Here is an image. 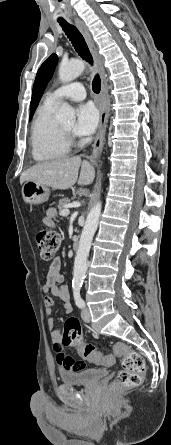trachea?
I'll return each mask as SVG.
<instances>
[{"mask_svg":"<svg viewBox=\"0 0 171 445\" xmlns=\"http://www.w3.org/2000/svg\"><path fill=\"white\" fill-rule=\"evenodd\" d=\"M59 24L61 25L63 31L70 39L74 49L78 53V55L91 65L93 64V59L88 49V46L85 42L84 37L79 32V30L74 26L66 22L65 20H59ZM93 92L98 94L101 90V80L98 74L95 75L92 82Z\"/></svg>","mask_w":171,"mask_h":445,"instance_id":"3493384b","label":"trachea"}]
</instances>
